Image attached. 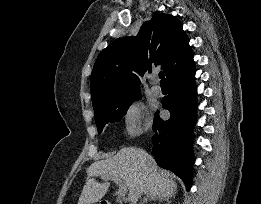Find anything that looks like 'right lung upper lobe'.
Instances as JSON below:
<instances>
[{
  "label": "right lung upper lobe",
  "instance_id": "right-lung-upper-lobe-1",
  "mask_svg": "<svg viewBox=\"0 0 261 204\" xmlns=\"http://www.w3.org/2000/svg\"><path fill=\"white\" fill-rule=\"evenodd\" d=\"M193 60L188 37L178 19L156 12L136 37L115 40L99 54L91 74L93 107L140 91V79L161 65L167 79Z\"/></svg>",
  "mask_w": 261,
  "mask_h": 204
}]
</instances>
